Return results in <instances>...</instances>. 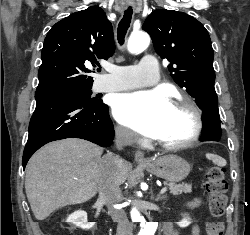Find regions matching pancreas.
<instances>
[{
  "label": "pancreas",
  "instance_id": "pancreas-1",
  "mask_svg": "<svg viewBox=\"0 0 250 235\" xmlns=\"http://www.w3.org/2000/svg\"><path fill=\"white\" fill-rule=\"evenodd\" d=\"M170 193L172 195H179L182 193H190L192 191V186L190 184H174L169 185Z\"/></svg>",
  "mask_w": 250,
  "mask_h": 235
}]
</instances>
